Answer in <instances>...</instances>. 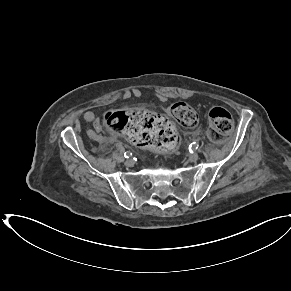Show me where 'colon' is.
<instances>
[{
	"mask_svg": "<svg viewBox=\"0 0 291 291\" xmlns=\"http://www.w3.org/2000/svg\"><path fill=\"white\" fill-rule=\"evenodd\" d=\"M170 115L182 126L194 127L198 123L196 111L185 102L170 107ZM103 122L110 131L123 135L139 147L164 151L177 142L176 129L166 117L155 112L132 109L107 113ZM208 135L214 142H221L233 129L231 114L214 106L208 112Z\"/></svg>",
	"mask_w": 291,
	"mask_h": 291,
	"instance_id": "1",
	"label": "colon"
}]
</instances>
